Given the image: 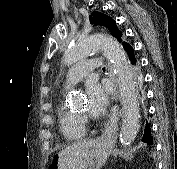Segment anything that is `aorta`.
<instances>
[{
    "mask_svg": "<svg viewBox=\"0 0 177 169\" xmlns=\"http://www.w3.org/2000/svg\"><path fill=\"white\" fill-rule=\"evenodd\" d=\"M99 49H102L104 55L111 61L114 73L118 78L123 105V121L119 140L123 147H127L137 136L140 127V111L131 66L126 53L118 42L106 35H91L67 49L63 55V62L68 66L75 64ZM80 100L81 98L77 95L70 98L72 104H76Z\"/></svg>",
    "mask_w": 177,
    "mask_h": 169,
    "instance_id": "762f6f07",
    "label": "aorta"
}]
</instances>
